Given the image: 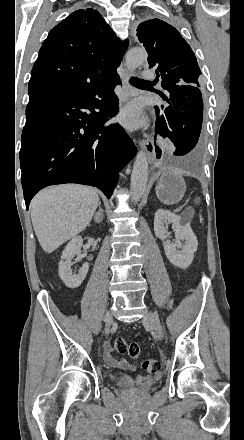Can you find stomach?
Segmentation results:
<instances>
[{
	"instance_id": "0dacf381",
	"label": "stomach",
	"mask_w": 244,
	"mask_h": 440,
	"mask_svg": "<svg viewBox=\"0 0 244 440\" xmlns=\"http://www.w3.org/2000/svg\"><path fill=\"white\" fill-rule=\"evenodd\" d=\"M186 192V184L179 172L163 170L156 186L158 200L167 206H173L182 200Z\"/></svg>"
}]
</instances>
